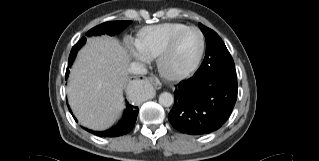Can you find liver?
<instances>
[{"label":"liver","instance_id":"6515ba94","mask_svg":"<svg viewBox=\"0 0 319 161\" xmlns=\"http://www.w3.org/2000/svg\"><path fill=\"white\" fill-rule=\"evenodd\" d=\"M130 57L117 39H88L71 69L67 88L78 121L93 130H105L123 109L122 89Z\"/></svg>","mask_w":319,"mask_h":161}]
</instances>
